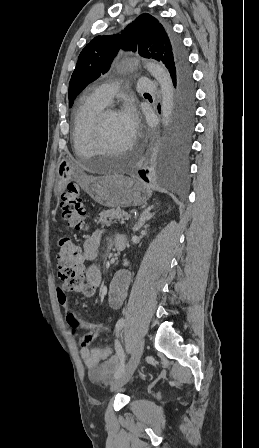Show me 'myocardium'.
I'll use <instances>...</instances> for the list:
<instances>
[{"label":"myocardium","instance_id":"myocardium-1","mask_svg":"<svg viewBox=\"0 0 259 448\" xmlns=\"http://www.w3.org/2000/svg\"><path fill=\"white\" fill-rule=\"evenodd\" d=\"M118 112L114 106H105L95 117L92 130V143L94 147L104 153H111L113 149L107 144L105 139V122L109 116L117 115ZM78 163H85L79 153H75ZM96 171H106L105 169H96Z\"/></svg>","mask_w":259,"mask_h":448}]
</instances>
